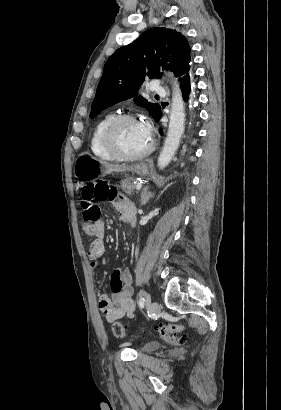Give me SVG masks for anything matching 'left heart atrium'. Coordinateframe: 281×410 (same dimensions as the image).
<instances>
[{"label": "left heart atrium", "mask_w": 281, "mask_h": 410, "mask_svg": "<svg viewBox=\"0 0 281 410\" xmlns=\"http://www.w3.org/2000/svg\"><path fill=\"white\" fill-rule=\"evenodd\" d=\"M140 124L145 135L150 139L152 130L151 125L148 122H141Z\"/></svg>", "instance_id": "left-heart-atrium-1"}]
</instances>
